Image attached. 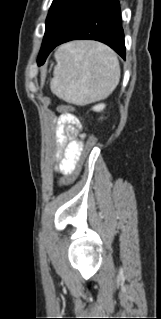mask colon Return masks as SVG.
<instances>
[{
    "instance_id": "5ec220e1",
    "label": "colon",
    "mask_w": 161,
    "mask_h": 319,
    "mask_svg": "<svg viewBox=\"0 0 161 319\" xmlns=\"http://www.w3.org/2000/svg\"><path fill=\"white\" fill-rule=\"evenodd\" d=\"M62 110L66 111V112H74V107L69 106V105H63L61 107ZM96 137L94 135H90L87 137L86 142H85V146H84V150H83V154H86L87 152H89L96 144ZM82 170V166H81V162L76 166L75 170L66 178L62 179L60 181L61 185H68L73 183L78 176L80 175Z\"/></svg>"
}]
</instances>
